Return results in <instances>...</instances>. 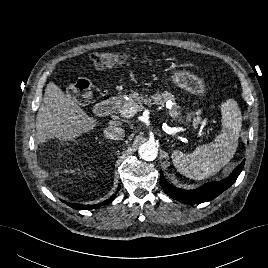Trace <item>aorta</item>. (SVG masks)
I'll return each instance as SVG.
<instances>
[{"label": "aorta", "mask_w": 268, "mask_h": 268, "mask_svg": "<svg viewBox=\"0 0 268 268\" xmlns=\"http://www.w3.org/2000/svg\"><path fill=\"white\" fill-rule=\"evenodd\" d=\"M140 157L146 161H153L158 155V149L154 143L146 142L139 147Z\"/></svg>", "instance_id": "aorta-1"}]
</instances>
